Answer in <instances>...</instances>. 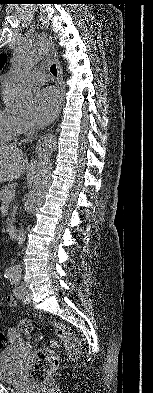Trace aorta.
Masks as SVG:
<instances>
[{
	"label": "aorta",
	"mask_w": 153,
	"mask_h": 393,
	"mask_svg": "<svg viewBox=\"0 0 153 393\" xmlns=\"http://www.w3.org/2000/svg\"><path fill=\"white\" fill-rule=\"evenodd\" d=\"M54 38L47 33H35L26 36L14 49L12 66L15 73L24 74L34 67L49 52ZM2 97L6 109L12 113H24L32 110L34 91L30 83L21 76L7 81L2 88ZM56 140L52 136L39 139L36 146L37 165L25 202V210L31 214L44 201L51 183L52 150Z\"/></svg>",
	"instance_id": "aorta-1"
}]
</instances>
